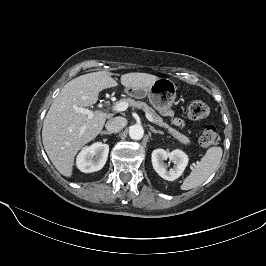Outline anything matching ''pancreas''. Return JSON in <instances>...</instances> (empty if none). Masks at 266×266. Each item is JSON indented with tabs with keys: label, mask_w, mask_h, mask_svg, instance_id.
Returning a JSON list of instances; mask_svg holds the SVG:
<instances>
[{
	"label": "pancreas",
	"mask_w": 266,
	"mask_h": 266,
	"mask_svg": "<svg viewBox=\"0 0 266 266\" xmlns=\"http://www.w3.org/2000/svg\"><path fill=\"white\" fill-rule=\"evenodd\" d=\"M121 101H125L128 103L129 106L142 109L143 111H145L146 113L151 115L158 126L163 127L165 129H168V131L176 139H178L181 143H183L184 145H190L191 144V141L189 140V138L187 136H185V135L179 133L178 131H176L175 129L169 127V125L167 123H165L162 120V118L151 107H149L145 102L135 101L131 98H124Z\"/></svg>",
	"instance_id": "cf45deb5"
}]
</instances>
